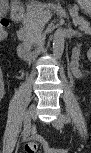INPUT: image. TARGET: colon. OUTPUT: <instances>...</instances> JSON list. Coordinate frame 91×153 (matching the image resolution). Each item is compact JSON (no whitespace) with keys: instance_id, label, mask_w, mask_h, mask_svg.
Returning a JSON list of instances; mask_svg holds the SVG:
<instances>
[{"instance_id":"1","label":"colon","mask_w":91,"mask_h":153,"mask_svg":"<svg viewBox=\"0 0 91 153\" xmlns=\"http://www.w3.org/2000/svg\"><path fill=\"white\" fill-rule=\"evenodd\" d=\"M0 25H1V28L6 29L8 22L6 20H2ZM39 146H41L45 150H49L47 141L43 139V140H34L27 143L24 147V152L35 153L38 150Z\"/></svg>"}]
</instances>
